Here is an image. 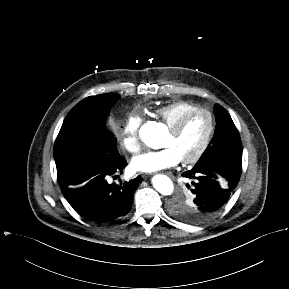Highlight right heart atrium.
<instances>
[{
  "label": "right heart atrium",
  "instance_id": "right-heart-atrium-1",
  "mask_svg": "<svg viewBox=\"0 0 289 289\" xmlns=\"http://www.w3.org/2000/svg\"><path fill=\"white\" fill-rule=\"evenodd\" d=\"M142 117L138 113H130L126 118L121 131V144L130 153H138L141 150L139 129Z\"/></svg>",
  "mask_w": 289,
  "mask_h": 289
}]
</instances>
